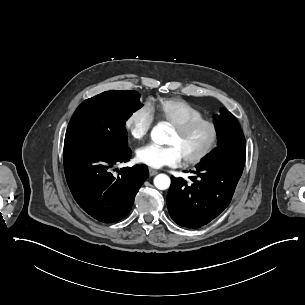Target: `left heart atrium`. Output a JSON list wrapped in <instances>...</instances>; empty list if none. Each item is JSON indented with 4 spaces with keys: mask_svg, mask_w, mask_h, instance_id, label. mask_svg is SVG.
<instances>
[{
    "mask_svg": "<svg viewBox=\"0 0 305 305\" xmlns=\"http://www.w3.org/2000/svg\"><path fill=\"white\" fill-rule=\"evenodd\" d=\"M136 158L143 164L159 168L165 165L178 164L182 159V155L175 145L161 146L150 143L136 150Z\"/></svg>",
    "mask_w": 305,
    "mask_h": 305,
    "instance_id": "1",
    "label": "left heart atrium"
}]
</instances>
